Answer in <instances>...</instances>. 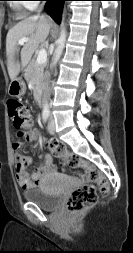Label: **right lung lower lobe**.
I'll use <instances>...</instances> for the list:
<instances>
[{"label":"right lung lower lobe","instance_id":"obj_1","mask_svg":"<svg viewBox=\"0 0 133 253\" xmlns=\"http://www.w3.org/2000/svg\"><path fill=\"white\" fill-rule=\"evenodd\" d=\"M45 11L59 23L63 2L65 0H46Z\"/></svg>","mask_w":133,"mask_h":253}]
</instances>
